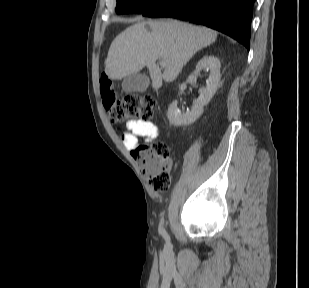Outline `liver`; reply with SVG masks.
<instances>
[{
  "label": "liver",
  "mask_w": 309,
  "mask_h": 288,
  "mask_svg": "<svg viewBox=\"0 0 309 288\" xmlns=\"http://www.w3.org/2000/svg\"><path fill=\"white\" fill-rule=\"evenodd\" d=\"M216 39V31L177 20L138 21L111 43L105 73L120 80L147 67L152 87L158 90L163 80L174 81L186 63ZM158 59L164 61L161 68Z\"/></svg>",
  "instance_id": "liver-1"
}]
</instances>
